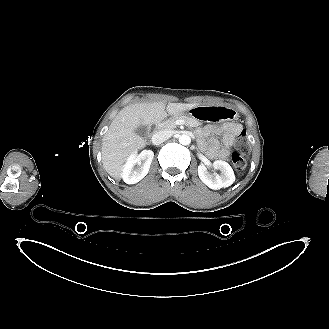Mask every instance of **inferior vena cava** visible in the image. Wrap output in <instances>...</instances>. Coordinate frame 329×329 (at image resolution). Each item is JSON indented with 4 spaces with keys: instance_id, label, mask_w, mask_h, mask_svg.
<instances>
[{
    "instance_id": "obj_1",
    "label": "inferior vena cava",
    "mask_w": 329,
    "mask_h": 329,
    "mask_svg": "<svg viewBox=\"0 0 329 329\" xmlns=\"http://www.w3.org/2000/svg\"><path fill=\"white\" fill-rule=\"evenodd\" d=\"M171 137V134L169 131L161 130L153 134L152 136V142L155 145H159L169 139Z\"/></svg>"
}]
</instances>
